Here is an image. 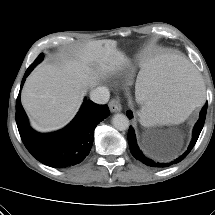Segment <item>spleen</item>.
<instances>
[{
  "label": "spleen",
  "mask_w": 215,
  "mask_h": 215,
  "mask_svg": "<svg viewBox=\"0 0 215 215\" xmlns=\"http://www.w3.org/2000/svg\"><path fill=\"white\" fill-rule=\"evenodd\" d=\"M137 93L144 101V126L183 120L204 101L201 78L184 57L174 54L157 56L142 65Z\"/></svg>",
  "instance_id": "spleen-1"
}]
</instances>
